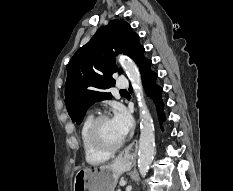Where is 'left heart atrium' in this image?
I'll return each instance as SVG.
<instances>
[{
	"label": "left heart atrium",
	"instance_id": "obj_1",
	"mask_svg": "<svg viewBox=\"0 0 233 191\" xmlns=\"http://www.w3.org/2000/svg\"><path fill=\"white\" fill-rule=\"evenodd\" d=\"M120 136L124 138L132 127V119L124 109H118L111 119Z\"/></svg>",
	"mask_w": 233,
	"mask_h": 191
}]
</instances>
